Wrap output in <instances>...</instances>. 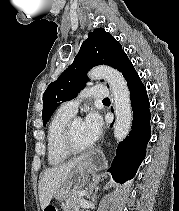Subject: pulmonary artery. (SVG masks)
Here are the masks:
<instances>
[{"label":"pulmonary artery","instance_id":"obj_1","mask_svg":"<svg viewBox=\"0 0 179 211\" xmlns=\"http://www.w3.org/2000/svg\"><path fill=\"white\" fill-rule=\"evenodd\" d=\"M109 97V90L104 85H94L85 89L81 95L73 100L65 102L61 109L74 115L76 114L81 101L85 98L105 99Z\"/></svg>","mask_w":179,"mask_h":211}]
</instances>
